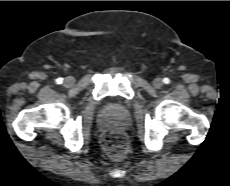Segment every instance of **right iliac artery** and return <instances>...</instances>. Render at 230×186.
Returning <instances> with one entry per match:
<instances>
[{"label":"right iliac artery","instance_id":"82829eb1","mask_svg":"<svg viewBox=\"0 0 230 186\" xmlns=\"http://www.w3.org/2000/svg\"><path fill=\"white\" fill-rule=\"evenodd\" d=\"M56 82H57L58 84H61V83L63 82V79H62V78H58V79L56 80Z\"/></svg>","mask_w":230,"mask_h":186}]
</instances>
